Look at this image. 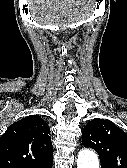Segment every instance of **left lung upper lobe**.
I'll return each mask as SVG.
<instances>
[{"label": "left lung upper lobe", "instance_id": "5c2ea615", "mask_svg": "<svg viewBox=\"0 0 127 168\" xmlns=\"http://www.w3.org/2000/svg\"><path fill=\"white\" fill-rule=\"evenodd\" d=\"M82 143L98 153L101 168H127V134L113 122L99 118L88 122Z\"/></svg>", "mask_w": 127, "mask_h": 168}]
</instances>
